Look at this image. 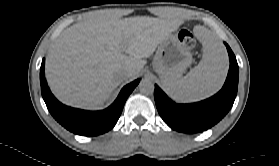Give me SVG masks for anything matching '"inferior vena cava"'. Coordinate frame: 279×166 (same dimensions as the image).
<instances>
[{
	"label": "inferior vena cava",
	"mask_w": 279,
	"mask_h": 166,
	"mask_svg": "<svg viewBox=\"0 0 279 166\" xmlns=\"http://www.w3.org/2000/svg\"><path fill=\"white\" fill-rule=\"evenodd\" d=\"M132 73V69L129 67H123L120 70L117 71L116 73V77L123 81L125 79H127Z\"/></svg>",
	"instance_id": "inferior-vena-cava-1"
}]
</instances>
